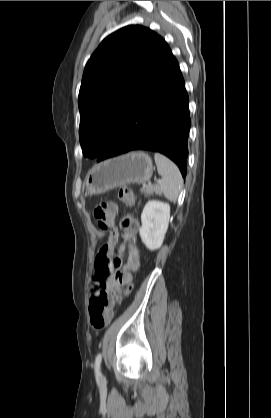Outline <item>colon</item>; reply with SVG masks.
Instances as JSON below:
<instances>
[{
  "mask_svg": "<svg viewBox=\"0 0 271 418\" xmlns=\"http://www.w3.org/2000/svg\"><path fill=\"white\" fill-rule=\"evenodd\" d=\"M118 196L120 201L127 205H131L134 202L133 192L129 188H121ZM116 213L117 204L112 200L98 203L93 210L98 227L111 234L114 231L113 219ZM136 226V222L130 217L123 218L121 221V227L124 231L123 238L128 239L133 236ZM120 251H122V246L120 247ZM121 264V253L110 258L108 256V246H104L95 259V280L99 283V286L93 291L91 297L89 319L92 328L97 332L104 329L112 319L111 303L102 283L110 276L117 275Z\"/></svg>",
  "mask_w": 271,
  "mask_h": 418,
  "instance_id": "5ec220e1",
  "label": "colon"
}]
</instances>
